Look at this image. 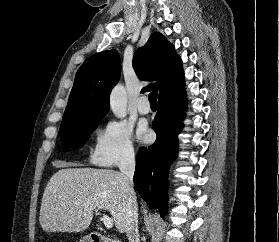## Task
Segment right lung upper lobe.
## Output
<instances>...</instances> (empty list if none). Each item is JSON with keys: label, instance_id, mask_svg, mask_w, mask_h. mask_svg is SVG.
Listing matches in <instances>:
<instances>
[{"label": "right lung upper lobe", "instance_id": "cb5924a9", "mask_svg": "<svg viewBox=\"0 0 279 242\" xmlns=\"http://www.w3.org/2000/svg\"><path fill=\"white\" fill-rule=\"evenodd\" d=\"M133 68L140 79L159 80L146 87L148 91H159L158 100L184 87L181 58L174 46L158 32L136 50ZM120 72V57L116 50L103 51L88 58L76 74L61 126L92 117L102 118L109 110V95L120 78Z\"/></svg>", "mask_w": 279, "mask_h": 242}]
</instances>
